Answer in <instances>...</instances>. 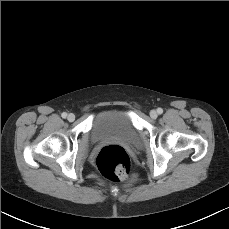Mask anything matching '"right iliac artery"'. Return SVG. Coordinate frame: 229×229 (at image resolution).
I'll use <instances>...</instances> for the list:
<instances>
[{
  "mask_svg": "<svg viewBox=\"0 0 229 229\" xmlns=\"http://www.w3.org/2000/svg\"><path fill=\"white\" fill-rule=\"evenodd\" d=\"M61 116H62L63 118H66V117H67V113H66V112H63V113L61 114Z\"/></svg>",
  "mask_w": 229,
  "mask_h": 229,
  "instance_id": "82829eb1",
  "label": "right iliac artery"
}]
</instances>
